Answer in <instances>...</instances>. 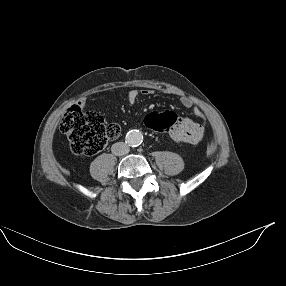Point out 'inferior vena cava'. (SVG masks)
Masks as SVG:
<instances>
[{
    "label": "inferior vena cava",
    "mask_w": 286,
    "mask_h": 286,
    "mask_svg": "<svg viewBox=\"0 0 286 286\" xmlns=\"http://www.w3.org/2000/svg\"><path fill=\"white\" fill-rule=\"evenodd\" d=\"M129 146L124 142H117L112 145L111 151L117 156L126 155L129 152Z\"/></svg>",
    "instance_id": "inferior-vena-cava-1"
}]
</instances>
